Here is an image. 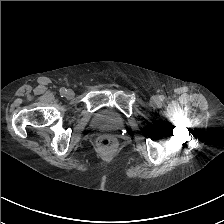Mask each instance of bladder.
<instances>
[{
    "label": "bladder",
    "instance_id": "31cf9c89",
    "mask_svg": "<svg viewBox=\"0 0 224 224\" xmlns=\"http://www.w3.org/2000/svg\"><path fill=\"white\" fill-rule=\"evenodd\" d=\"M91 126L104 131H119L124 127V119L114 108L103 107L93 114Z\"/></svg>",
    "mask_w": 224,
    "mask_h": 224
}]
</instances>
